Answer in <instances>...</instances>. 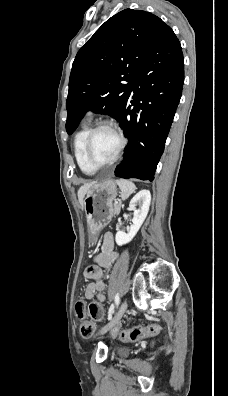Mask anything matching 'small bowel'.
Masks as SVG:
<instances>
[{"mask_svg": "<svg viewBox=\"0 0 228 396\" xmlns=\"http://www.w3.org/2000/svg\"><path fill=\"white\" fill-rule=\"evenodd\" d=\"M116 258L113 235L105 233L102 239L101 251L93 257L92 264L84 271V277L91 280L85 289V297L87 299H95L99 303L106 300L104 293L106 284L102 278V269H109Z\"/></svg>", "mask_w": 228, "mask_h": 396, "instance_id": "obj_1", "label": "small bowel"}]
</instances>
